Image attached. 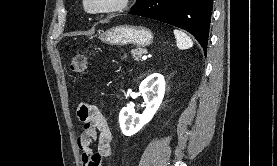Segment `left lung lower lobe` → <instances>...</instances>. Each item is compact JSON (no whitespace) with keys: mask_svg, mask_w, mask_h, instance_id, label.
Wrapping results in <instances>:
<instances>
[{"mask_svg":"<svg viewBox=\"0 0 277 166\" xmlns=\"http://www.w3.org/2000/svg\"><path fill=\"white\" fill-rule=\"evenodd\" d=\"M213 0H146L129 14L147 17L191 33L206 53Z\"/></svg>","mask_w":277,"mask_h":166,"instance_id":"0a47b994","label":"left lung lower lobe"}]
</instances>
